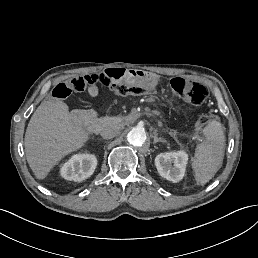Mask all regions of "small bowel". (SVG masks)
I'll return each instance as SVG.
<instances>
[{
    "label": "small bowel",
    "instance_id": "obj_1",
    "mask_svg": "<svg viewBox=\"0 0 258 258\" xmlns=\"http://www.w3.org/2000/svg\"><path fill=\"white\" fill-rule=\"evenodd\" d=\"M90 94H94V90L93 89L90 91Z\"/></svg>",
    "mask_w": 258,
    "mask_h": 258
}]
</instances>
